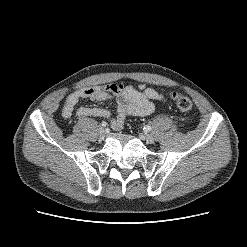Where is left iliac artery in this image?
I'll return each instance as SVG.
<instances>
[{
	"label": "left iliac artery",
	"mask_w": 247,
	"mask_h": 247,
	"mask_svg": "<svg viewBox=\"0 0 247 247\" xmlns=\"http://www.w3.org/2000/svg\"><path fill=\"white\" fill-rule=\"evenodd\" d=\"M145 131H150L151 130V126L147 125V126H144L143 128Z\"/></svg>",
	"instance_id": "obj_1"
}]
</instances>
